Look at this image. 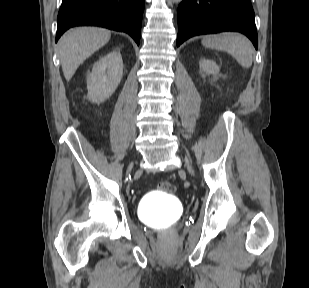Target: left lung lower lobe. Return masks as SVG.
<instances>
[{"label": "left lung lower lobe", "instance_id": "obj_1", "mask_svg": "<svg viewBox=\"0 0 309 288\" xmlns=\"http://www.w3.org/2000/svg\"><path fill=\"white\" fill-rule=\"evenodd\" d=\"M177 18V46L196 35L237 31L245 34L258 48L250 0H183Z\"/></svg>", "mask_w": 309, "mask_h": 288}]
</instances>
